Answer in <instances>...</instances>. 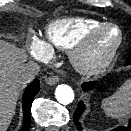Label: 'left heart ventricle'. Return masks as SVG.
Wrapping results in <instances>:
<instances>
[{
	"instance_id": "1",
	"label": "left heart ventricle",
	"mask_w": 131,
	"mask_h": 131,
	"mask_svg": "<svg viewBox=\"0 0 131 131\" xmlns=\"http://www.w3.org/2000/svg\"><path fill=\"white\" fill-rule=\"evenodd\" d=\"M118 39V31L115 28H109L103 31L95 40L88 53V58L98 60L106 56L114 47Z\"/></svg>"
}]
</instances>
